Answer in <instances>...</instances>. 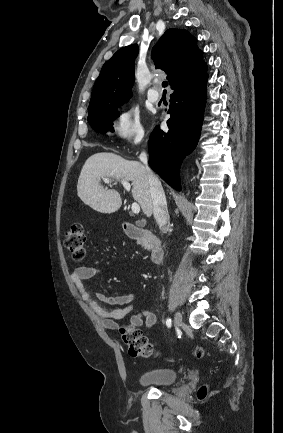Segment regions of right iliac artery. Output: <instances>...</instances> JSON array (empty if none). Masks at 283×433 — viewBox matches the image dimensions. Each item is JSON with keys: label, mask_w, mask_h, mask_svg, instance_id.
Returning <instances> with one entry per match:
<instances>
[{"label": "right iliac artery", "mask_w": 283, "mask_h": 433, "mask_svg": "<svg viewBox=\"0 0 283 433\" xmlns=\"http://www.w3.org/2000/svg\"><path fill=\"white\" fill-rule=\"evenodd\" d=\"M171 324H172V321H171V319L169 318V319H167L166 320V325H167V327L168 328H170L171 327Z\"/></svg>", "instance_id": "82829eb1"}]
</instances>
